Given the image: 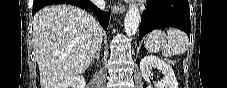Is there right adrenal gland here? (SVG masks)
I'll use <instances>...</instances> for the list:
<instances>
[{
    "mask_svg": "<svg viewBox=\"0 0 227 88\" xmlns=\"http://www.w3.org/2000/svg\"><path fill=\"white\" fill-rule=\"evenodd\" d=\"M100 52H101V49H99L97 51L96 55L93 57L92 62H91V65L95 62L96 59H97V61H99V59H100Z\"/></svg>",
    "mask_w": 227,
    "mask_h": 88,
    "instance_id": "obj_1",
    "label": "right adrenal gland"
}]
</instances>
